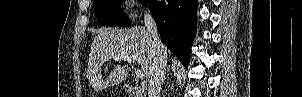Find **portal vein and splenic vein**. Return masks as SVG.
<instances>
[{
	"label": "portal vein and splenic vein",
	"mask_w": 302,
	"mask_h": 97,
	"mask_svg": "<svg viewBox=\"0 0 302 97\" xmlns=\"http://www.w3.org/2000/svg\"><path fill=\"white\" fill-rule=\"evenodd\" d=\"M114 60H125L128 63H130V64H132V63L135 62L134 58H132V57H126V56H117V57L114 58ZM135 74H136V77L138 79H143L144 78V73H143V71L141 69H137L135 71Z\"/></svg>",
	"instance_id": "1"
}]
</instances>
